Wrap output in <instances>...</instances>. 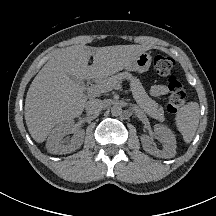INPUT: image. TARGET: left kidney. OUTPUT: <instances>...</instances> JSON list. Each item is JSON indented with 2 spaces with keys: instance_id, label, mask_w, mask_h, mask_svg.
<instances>
[{
  "instance_id": "obj_1",
  "label": "left kidney",
  "mask_w": 216,
  "mask_h": 216,
  "mask_svg": "<svg viewBox=\"0 0 216 216\" xmlns=\"http://www.w3.org/2000/svg\"><path fill=\"white\" fill-rule=\"evenodd\" d=\"M154 133L164 142V149L159 150L156 147H153L151 140L152 138L145 134L141 135L140 137L143 149L147 153L156 157H174L176 154V138L172 131L167 126L157 124L154 126Z\"/></svg>"
}]
</instances>
